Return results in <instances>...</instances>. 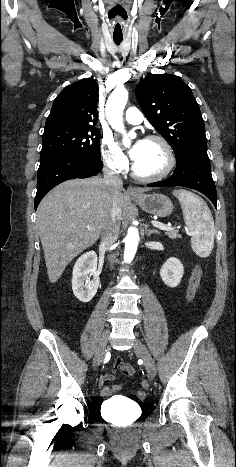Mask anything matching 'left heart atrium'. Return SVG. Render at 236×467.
<instances>
[{
  "label": "left heart atrium",
  "mask_w": 236,
  "mask_h": 467,
  "mask_svg": "<svg viewBox=\"0 0 236 467\" xmlns=\"http://www.w3.org/2000/svg\"><path fill=\"white\" fill-rule=\"evenodd\" d=\"M144 141L145 140H142V139L138 140L133 145V147L130 149V156L134 161H136L139 158L142 148H143Z\"/></svg>",
  "instance_id": "obj_1"
}]
</instances>
